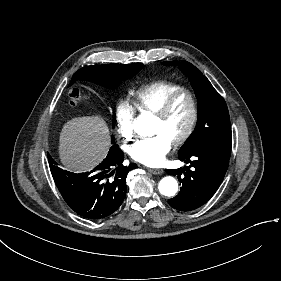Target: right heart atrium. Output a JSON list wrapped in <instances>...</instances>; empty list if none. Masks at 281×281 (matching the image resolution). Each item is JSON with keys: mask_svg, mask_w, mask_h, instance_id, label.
Returning <instances> with one entry per match:
<instances>
[{"mask_svg": "<svg viewBox=\"0 0 281 281\" xmlns=\"http://www.w3.org/2000/svg\"><path fill=\"white\" fill-rule=\"evenodd\" d=\"M118 132L123 139V150L128 151V142L138 137L139 127L135 122V112L129 102L119 99L115 108Z\"/></svg>", "mask_w": 281, "mask_h": 281, "instance_id": "obj_1", "label": "right heart atrium"}]
</instances>
